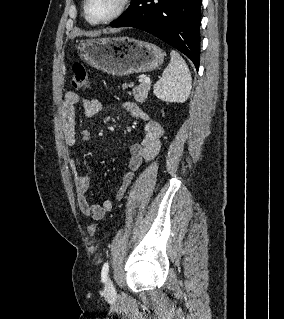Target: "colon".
Wrapping results in <instances>:
<instances>
[{
	"label": "colon",
	"mask_w": 284,
	"mask_h": 319,
	"mask_svg": "<svg viewBox=\"0 0 284 319\" xmlns=\"http://www.w3.org/2000/svg\"><path fill=\"white\" fill-rule=\"evenodd\" d=\"M72 85L76 89H86L90 82L85 66L81 63H75L72 66ZM97 231V224H90L88 226V233L93 236Z\"/></svg>",
	"instance_id": "5ec220e1"
}]
</instances>
